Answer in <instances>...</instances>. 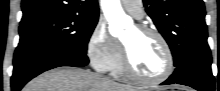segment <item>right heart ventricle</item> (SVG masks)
Wrapping results in <instances>:
<instances>
[{"label": "right heart ventricle", "mask_w": 220, "mask_h": 91, "mask_svg": "<svg viewBox=\"0 0 220 91\" xmlns=\"http://www.w3.org/2000/svg\"><path fill=\"white\" fill-rule=\"evenodd\" d=\"M112 74L115 77H123L124 76V71H123V65H122V54L120 53V56L118 60L116 61L115 65L111 69Z\"/></svg>", "instance_id": "right-heart-ventricle-1"}]
</instances>
